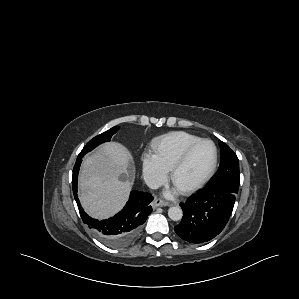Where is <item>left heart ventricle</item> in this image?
<instances>
[{"label":"left heart ventricle","mask_w":299,"mask_h":299,"mask_svg":"<svg viewBox=\"0 0 299 299\" xmlns=\"http://www.w3.org/2000/svg\"><path fill=\"white\" fill-rule=\"evenodd\" d=\"M214 161V148L209 143L201 144L191 154L187 163L175 177V186L183 189L201 180L210 170Z\"/></svg>","instance_id":"b2bd125f"}]
</instances>
